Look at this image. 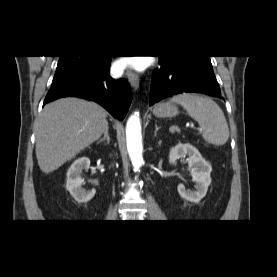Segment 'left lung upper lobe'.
I'll return each mask as SVG.
<instances>
[{"label": "left lung upper lobe", "mask_w": 277, "mask_h": 277, "mask_svg": "<svg viewBox=\"0 0 277 277\" xmlns=\"http://www.w3.org/2000/svg\"><path fill=\"white\" fill-rule=\"evenodd\" d=\"M169 56H159V58H166ZM184 58H191V59H204V60H210V56H194V55H186V56H182Z\"/></svg>", "instance_id": "5c2ea615"}]
</instances>
